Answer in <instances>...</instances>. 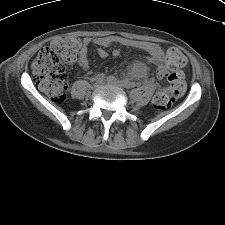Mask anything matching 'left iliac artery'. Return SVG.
I'll use <instances>...</instances> for the list:
<instances>
[{"mask_svg":"<svg viewBox=\"0 0 225 225\" xmlns=\"http://www.w3.org/2000/svg\"><path fill=\"white\" fill-rule=\"evenodd\" d=\"M122 82H123V84H124L126 87H131V85H130V83H129L128 81L123 80Z\"/></svg>","mask_w":225,"mask_h":225,"instance_id":"1","label":"left iliac artery"}]
</instances>
